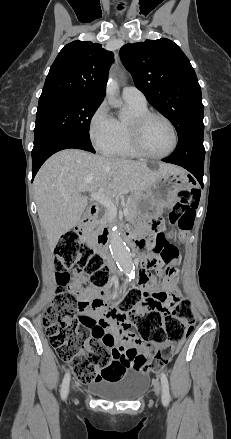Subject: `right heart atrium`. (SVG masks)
<instances>
[{"instance_id":"1","label":"right heart atrium","mask_w":231,"mask_h":439,"mask_svg":"<svg viewBox=\"0 0 231 439\" xmlns=\"http://www.w3.org/2000/svg\"><path fill=\"white\" fill-rule=\"evenodd\" d=\"M89 138L98 150L103 151L114 139V118L107 104L100 103L93 111L88 124Z\"/></svg>"}]
</instances>
